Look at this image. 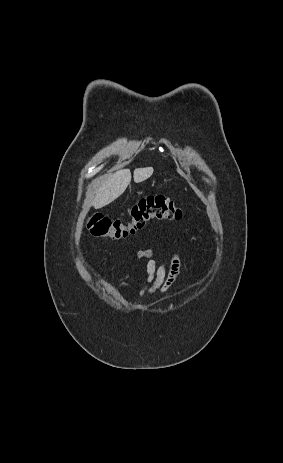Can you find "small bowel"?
<instances>
[{"label":"small bowel","instance_id":"c3829d8e","mask_svg":"<svg viewBox=\"0 0 283 463\" xmlns=\"http://www.w3.org/2000/svg\"><path fill=\"white\" fill-rule=\"evenodd\" d=\"M153 250H138L135 256L138 259H147V267L144 273H138L140 287L133 289L126 278L121 281L120 287L124 290L135 292L138 296L163 295L167 293L181 276V261L178 254H174L168 264H159L153 259Z\"/></svg>","mask_w":283,"mask_h":463}]
</instances>
